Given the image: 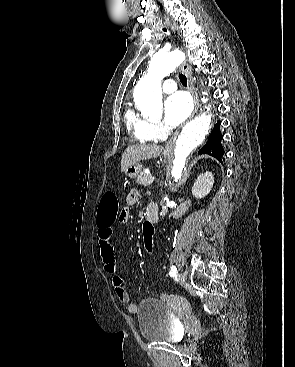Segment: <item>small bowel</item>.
I'll return each instance as SVG.
<instances>
[{
    "label": "small bowel",
    "instance_id": "small-bowel-1",
    "mask_svg": "<svg viewBox=\"0 0 295 367\" xmlns=\"http://www.w3.org/2000/svg\"><path fill=\"white\" fill-rule=\"evenodd\" d=\"M137 192L131 190L127 196V201L133 203L137 200ZM130 213L129 208H121L118 214L117 221L121 226H126L128 222V215ZM98 241L100 246L101 259L104 265V270L113 275L112 285L118 300L122 303L128 304L127 309L130 313H136L138 306L134 303H130V297L128 292L124 288L123 279L117 274V264L114 255V247L111 239L114 232V221L104 222L98 221Z\"/></svg>",
    "mask_w": 295,
    "mask_h": 367
}]
</instances>
